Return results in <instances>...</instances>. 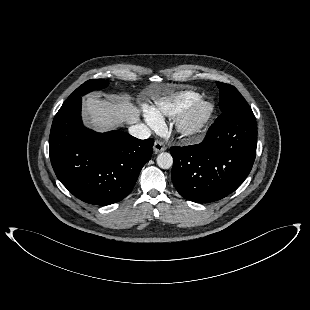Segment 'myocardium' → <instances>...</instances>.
Instances as JSON below:
<instances>
[{
    "mask_svg": "<svg viewBox=\"0 0 310 310\" xmlns=\"http://www.w3.org/2000/svg\"><path fill=\"white\" fill-rule=\"evenodd\" d=\"M199 108L204 112L199 120L194 121L193 115ZM215 107L209 100L199 98L188 105L176 118V131L186 141L199 139L210 124L214 115Z\"/></svg>",
    "mask_w": 310,
    "mask_h": 310,
    "instance_id": "myocardium-1",
    "label": "myocardium"
}]
</instances>
